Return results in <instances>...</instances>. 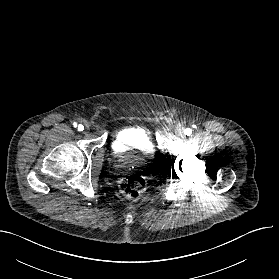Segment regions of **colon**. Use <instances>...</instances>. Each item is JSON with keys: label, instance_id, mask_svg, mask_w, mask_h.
Segmentation results:
<instances>
[{"label": "colon", "instance_id": "1", "mask_svg": "<svg viewBox=\"0 0 279 279\" xmlns=\"http://www.w3.org/2000/svg\"><path fill=\"white\" fill-rule=\"evenodd\" d=\"M119 187L121 192L126 197L136 199L144 193L146 189V182L141 176L130 175L119 181Z\"/></svg>", "mask_w": 279, "mask_h": 279}]
</instances>
